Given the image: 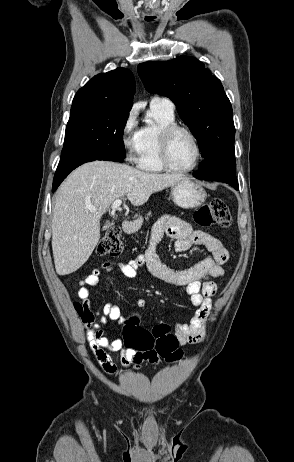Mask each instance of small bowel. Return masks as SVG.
I'll return each instance as SVG.
<instances>
[{
	"label": "small bowel",
	"mask_w": 294,
	"mask_h": 462,
	"mask_svg": "<svg viewBox=\"0 0 294 462\" xmlns=\"http://www.w3.org/2000/svg\"><path fill=\"white\" fill-rule=\"evenodd\" d=\"M164 235L174 239V249L177 252H185L193 245H201L211 255L185 269L171 268L164 264L156 253V246ZM227 260L228 251L219 239L207 232L194 230L188 222L168 215L154 225L149 247L144 254L124 264L105 262L82 279L77 294L82 301L81 314L87 327L86 339L102 370L110 375L117 371V365L108 351L118 352L121 366L132 372L139 371L143 363L148 362L143 352L125 347L121 338L109 339L106 336L105 326L109 320L119 324L126 321L116 304H105L101 312L91 309L90 288L100 283L102 273L108 274L119 268L125 277L134 278L138 269L146 265L156 278L184 288L190 304L196 307V311L189 323L177 322L174 331L179 344L186 345L197 343L206 335V321L212 308V297L217 291L213 279L223 276V265ZM138 304L140 307L145 306L143 300H139Z\"/></svg>",
	"instance_id": "c3829d8e"
}]
</instances>
